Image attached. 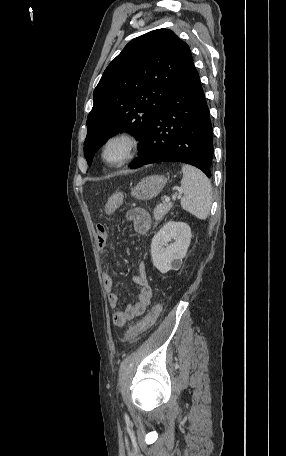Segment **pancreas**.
<instances>
[{
  "mask_svg": "<svg viewBox=\"0 0 286 456\" xmlns=\"http://www.w3.org/2000/svg\"><path fill=\"white\" fill-rule=\"evenodd\" d=\"M172 208V203H162L155 207L154 209V219L156 221H161L167 212Z\"/></svg>",
  "mask_w": 286,
  "mask_h": 456,
  "instance_id": "pancreas-1",
  "label": "pancreas"
}]
</instances>
